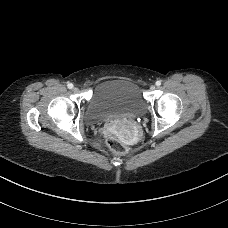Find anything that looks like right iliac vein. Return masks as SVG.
Wrapping results in <instances>:
<instances>
[{
	"label": "right iliac vein",
	"mask_w": 228,
	"mask_h": 228,
	"mask_svg": "<svg viewBox=\"0 0 228 228\" xmlns=\"http://www.w3.org/2000/svg\"><path fill=\"white\" fill-rule=\"evenodd\" d=\"M73 89H74L75 91H77V90H78V88H77V87H74Z\"/></svg>",
	"instance_id": "obj_1"
}]
</instances>
